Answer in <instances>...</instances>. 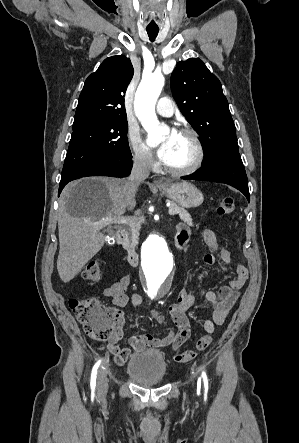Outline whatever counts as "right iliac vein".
Returning a JSON list of instances; mask_svg holds the SVG:
<instances>
[{"label":"right iliac vein","mask_w":299,"mask_h":443,"mask_svg":"<svg viewBox=\"0 0 299 443\" xmlns=\"http://www.w3.org/2000/svg\"><path fill=\"white\" fill-rule=\"evenodd\" d=\"M97 389L99 398H103L108 390L107 369L102 367L98 374Z\"/></svg>","instance_id":"right-iliac-vein-1"}]
</instances>
